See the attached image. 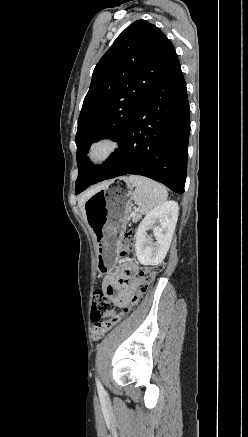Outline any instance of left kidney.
Returning a JSON list of instances; mask_svg holds the SVG:
<instances>
[{
    "label": "left kidney",
    "instance_id": "5707ae66",
    "mask_svg": "<svg viewBox=\"0 0 248 437\" xmlns=\"http://www.w3.org/2000/svg\"><path fill=\"white\" fill-rule=\"evenodd\" d=\"M178 204L167 201L151 210L139 225L136 232L135 252L142 265H158L165 258L178 218ZM152 229L155 237L147 235Z\"/></svg>",
    "mask_w": 248,
    "mask_h": 437
}]
</instances>
